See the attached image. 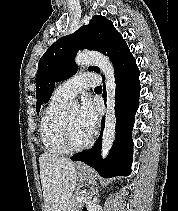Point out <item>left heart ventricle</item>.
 <instances>
[{
	"mask_svg": "<svg viewBox=\"0 0 178 211\" xmlns=\"http://www.w3.org/2000/svg\"><path fill=\"white\" fill-rule=\"evenodd\" d=\"M67 118L73 143L75 145L85 143L91 134L87 132L79 123V114L74 112L67 115Z\"/></svg>",
	"mask_w": 178,
	"mask_h": 211,
	"instance_id": "left-heart-ventricle-1",
	"label": "left heart ventricle"
}]
</instances>
